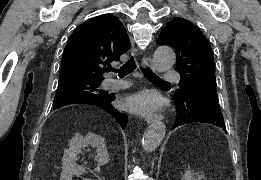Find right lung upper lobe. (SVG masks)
<instances>
[{
	"mask_svg": "<svg viewBox=\"0 0 261 180\" xmlns=\"http://www.w3.org/2000/svg\"><path fill=\"white\" fill-rule=\"evenodd\" d=\"M130 48L126 29L115 16L89 19L73 32L65 46L59 81H103V66L119 60Z\"/></svg>",
	"mask_w": 261,
	"mask_h": 180,
	"instance_id": "obj_1",
	"label": "right lung upper lobe"
}]
</instances>
